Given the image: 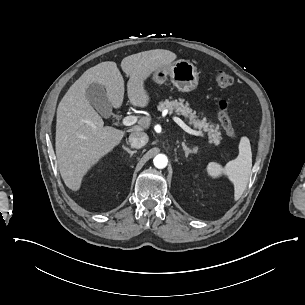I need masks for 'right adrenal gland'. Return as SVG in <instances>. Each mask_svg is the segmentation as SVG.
I'll return each instance as SVG.
<instances>
[{"instance_id":"right-adrenal-gland-1","label":"right adrenal gland","mask_w":305,"mask_h":305,"mask_svg":"<svg viewBox=\"0 0 305 305\" xmlns=\"http://www.w3.org/2000/svg\"><path fill=\"white\" fill-rule=\"evenodd\" d=\"M123 149L126 150L130 154V157H132L133 154H135L137 152L136 150L132 151L128 147H125V146H123Z\"/></svg>"}]
</instances>
